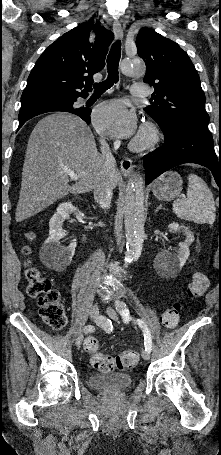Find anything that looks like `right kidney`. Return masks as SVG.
<instances>
[{
    "label": "right kidney",
    "instance_id": "1",
    "mask_svg": "<svg viewBox=\"0 0 221 455\" xmlns=\"http://www.w3.org/2000/svg\"><path fill=\"white\" fill-rule=\"evenodd\" d=\"M70 214H74L78 221H82L84 218V214L71 202L61 203L49 221V237L45 240L40 250L41 261L47 267L57 271L65 269L70 264L75 253V242L68 247L60 244V239L64 235L62 226Z\"/></svg>",
    "mask_w": 221,
    "mask_h": 455
}]
</instances>
